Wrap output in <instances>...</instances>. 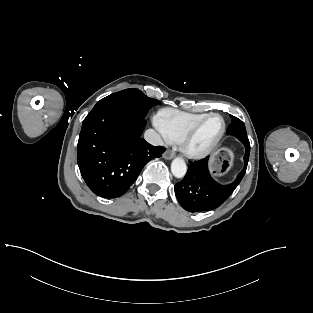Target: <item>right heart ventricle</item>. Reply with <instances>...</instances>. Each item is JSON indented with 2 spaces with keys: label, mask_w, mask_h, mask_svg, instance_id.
Returning a JSON list of instances; mask_svg holds the SVG:
<instances>
[{
  "label": "right heart ventricle",
  "mask_w": 313,
  "mask_h": 313,
  "mask_svg": "<svg viewBox=\"0 0 313 313\" xmlns=\"http://www.w3.org/2000/svg\"><path fill=\"white\" fill-rule=\"evenodd\" d=\"M207 114L163 109L158 113L156 125L167 141L179 143L184 134Z\"/></svg>",
  "instance_id": "e07e8e85"
}]
</instances>
